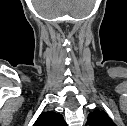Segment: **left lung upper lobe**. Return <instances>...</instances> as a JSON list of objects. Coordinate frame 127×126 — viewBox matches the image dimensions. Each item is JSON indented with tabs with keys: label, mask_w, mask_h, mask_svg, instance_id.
Instances as JSON below:
<instances>
[{
	"label": "left lung upper lobe",
	"mask_w": 127,
	"mask_h": 126,
	"mask_svg": "<svg viewBox=\"0 0 127 126\" xmlns=\"http://www.w3.org/2000/svg\"><path fill=\"white\" fill-rule=\"evenodd\" d=\"M87 125L89 126H116L108 114L103 110H94L88 115Z\"/></svg>",
	"instance_id": "obj_1"
}]
</instances>
